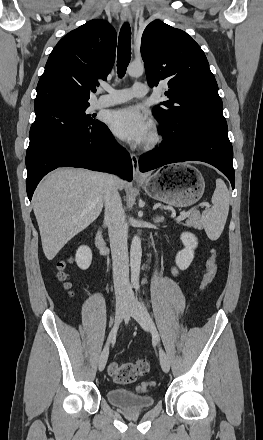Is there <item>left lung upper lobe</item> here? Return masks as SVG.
<instances>
[{
	"label": "left lung upper lobe",
	"mask_w": 263,
	"mask_h": 440,
	"mask_svg": "<svg viewBox=\"0 0 263 440\" xmlns=\"http://www.w3.org/2000/svg\"><path fill=\"white\" fill-rule=\"evenodd\" d=\"M141 55L149 85L168 83L169 100L152 109L163 127L188 139L203 124L225 121L207 58L186 32L160 20L151 22L142 35Z\"/></svg>",
	"instance_id": "5c2ea615"
}]
</instances>
